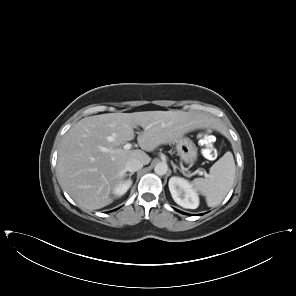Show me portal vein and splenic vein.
Listing matches in <instances>:
<instances>
[{
    "instance_id": "18ae733b",
    "label": "portal vein and splenic vein",
    "mask_w": 296,
    "mask_h": 296,
    "mask_svg": "<svg viewBox=\"0 0 296 296\" xmlns=\"http://www.w3.org/2000/svg\"><path fill=\"white\" fill-rule=\"evenodd\" d=\"M131 147H132V144H131V143H127V144H125V145L123 146V149H124V150H129V149H131ZM104 151H107V150L104 149ZM194 173H195V174H199V175H204V176L208 177V174H207L206 172H202V171H200V170H196Z\"/></svg>"
}]
</instances>
